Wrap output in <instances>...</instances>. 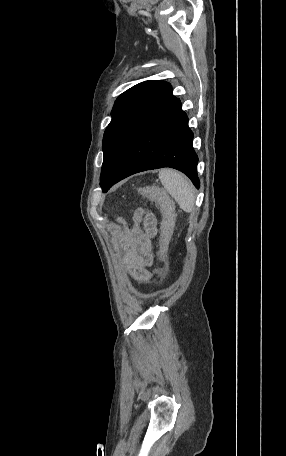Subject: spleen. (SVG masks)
I'll return each mask as SVG.
<instances>
[{"instance_id": "3e777b00", "label": "spleen", "mask_w": 286, "mask_h": 456, "mask_svg": "<svg viewBox=\"0 0 286 456\" xmlns=\"http://www.w3.org/2000/svg\"><path fill=\"white\" fill-rule=\"evenodd\" d=\"M159 179L181 209L187 213L194 210V187L185 175L173 169H162L159 171Z\"/></svg>"}]
</instances>
